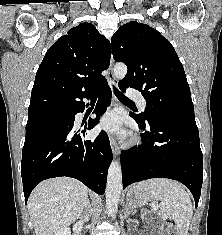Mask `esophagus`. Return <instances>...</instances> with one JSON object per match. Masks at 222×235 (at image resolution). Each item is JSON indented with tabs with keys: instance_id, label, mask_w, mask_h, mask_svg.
Returning a JSON list of instances; mask_svg holds the SVG:
<instances>
[{
	"instance_id": "34e87169",
	"label": "esophagus",
	"mask_w": 222,
	"mask_h": 235,
	"mask_svg": "<svg viewBox=\"0 0 222 235\" xmlns=\"http://www.w3.org/2000/svg\"><path fill=\"white\" fill-rule=\"evenodd\" d=\"M113 64H114V60H113V57L111 56L110 65H109V79H108L109 85L111 87L117 85V80L113 76ZM113 101H114V105H115V98ZM110 145H111V149H112L113 154L115 156H117L119 154V147H118L116 139L113 135L110 136Z\"/></svg>"
}]
</instances>
